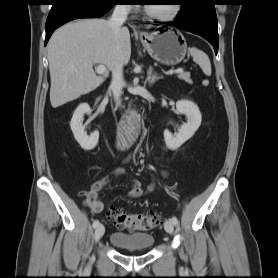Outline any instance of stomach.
<instances>
[{
  "label": "stomach",
  "instance_id": "obj_1",
  "mask_svg": "<svg viewBox=\"0 0 278 278\" xmlns=\"http://www.w3.org/2000/svg\"><path fill=\"white\" fill-rule=\"evenodd\" d=\"M140 41L154 60L165 65L180 63L187 52L184 36L173 29L141 35Z\"/></svg>",
  "mask_w": 278,
  "mask_h": 278
}]
</instances>
